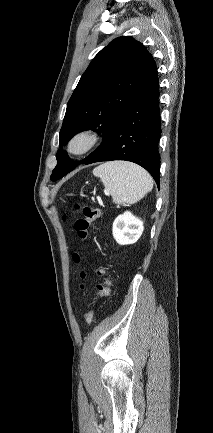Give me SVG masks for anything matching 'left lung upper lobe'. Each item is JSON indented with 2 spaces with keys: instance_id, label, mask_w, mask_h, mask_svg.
Segmentation results:
<instances>
[{
  "instance_id": "obj_1",
  "label": "left lung upper lobe",
  "mask_w": 213,
  "mask_h": 433,
  "mask_svg": "<svg viewBox=\"0 0 213 433\" xmlns=\"http://www.w3.org/2000/svg\"><path fill=\"white\" fill-rule=\"evenodd\" d=\"M155 66L152 55L132 37L122 36L110 42L91 61L67 103L59 147L75 134L91 129L102 133L103 142L79 163L91 158ZM77 165L65 151H58L51 180L62 178Z\"/></svg>"
}]
</instances>
